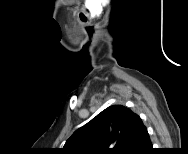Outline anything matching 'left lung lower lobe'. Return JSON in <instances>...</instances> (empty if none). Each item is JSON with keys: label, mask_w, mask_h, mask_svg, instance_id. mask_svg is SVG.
Masks as SVG:
<instances>
[{"label": "left lung lower lobe", "mask_w": 188, "mask_h": 154, "mask_svg": "<svg viewBox=\"0 0 188 154\" xmlns=\"http://www.w3.org/2000/svg\"><path fill=\"white\" fill-rule=\"evenodd\" d=\"M151 147L148 131L141 118L136 114L127 154H149L147 152L151 151Z\"/></svg>", "instance_id": "left-lung-lower-lobe-1"}]
</instances>
